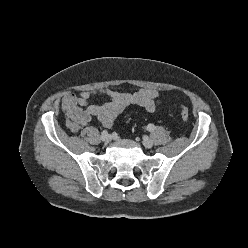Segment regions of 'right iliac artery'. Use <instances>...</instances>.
<instances>
[{"mask_svg":"<svg viewBox=\"0 0 248 248\" xmlns=\"http://www.w3.org/2000/svg\"><path fill=\"white\" fill-rule=\"evenodd\" d=\"M107 135H108V131H107V130H104V131L101 133V139H104Z\"/></svg>","mask_w":248,"mask_h":248,"instance_id":"right-iliac-artery-1","label":"right iliac artery"}]
</instances>
